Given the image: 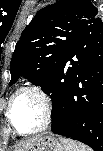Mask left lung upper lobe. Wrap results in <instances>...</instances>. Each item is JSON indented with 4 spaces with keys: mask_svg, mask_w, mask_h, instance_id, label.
Masks as SVG:
<instances>
[{
    "mask_svg": "<svg viewBox=\"0 0 103 151\" xmlns=\"http://www.w3.org/2000/svg\"><path fill=\"white\" fill-rule=\"evenodd\" d=\"M97 23L103 24L88 0H60L39 10L16 44L10 85L24 76L43 87L82 32Z\"/></svg>",
    "mask_w": 103,
    "mask_h": 151,
    "instance_id": "obj_1",
    "label": "left lung upper lobe"
}]
</instances>
